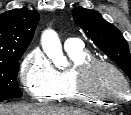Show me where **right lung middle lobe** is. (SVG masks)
Returning <instances> with one entry per match:
<instances>
[{
    "label": "right lung middle lobe",
    "mask_w": 131,
    "mask_h": 115,
    "mask_svg": "<svg viewBox=\"0 0 131 115\" xmlns=\"http://www.w3.org/2000/svg\"><path fill=\"white\" fill-rule=\"evenodd\" d=\"M24 52L25 50L13 53L8 59L0 60V101L22 96V91L17 83V76L18 60Z\"/></svg>",
    "instance_id": "right-lung-middle-lobe-1"
}]
</instances>
